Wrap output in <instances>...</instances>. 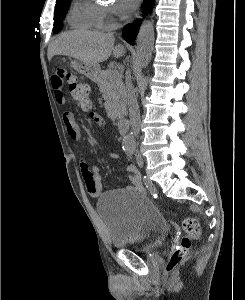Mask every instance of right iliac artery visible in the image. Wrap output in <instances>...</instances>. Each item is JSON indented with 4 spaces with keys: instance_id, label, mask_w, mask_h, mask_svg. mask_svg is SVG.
<instances>
[{
    "instance_id": "82829eb1",
    "label": "right iliac artery",
    "mask_w": 245,
    "mask_h": 300,
    "mask_svg": "<svg viewBox=\"0 0 245 300\" xmlns=\"http://www.w3.org/2000/svg\"><path fill=\"white\" fill-rule=\"evenodd\" d=\"M125 151H133L134 150V147H126V148H123Z\"/></svg>"
}]
</instances>
